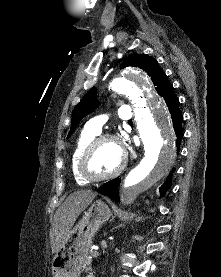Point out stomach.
Here are the masks:
<instances>
[{"label": "stomach", "mask_w": 221, "mask_h": 277, "mask_svg": "<svg viewBox=\"0 0 221 277\" xmlns=\"http://www.w3.org/2000/svg\"><path fill=\"white\" fill-rule=\"evenodd\" d=\"M110 217L111 210L102 200H96L84 211L53 257V277H79L95 233Z\"/></svg>", "instance_id": "0dacf381"}]
</instances>
